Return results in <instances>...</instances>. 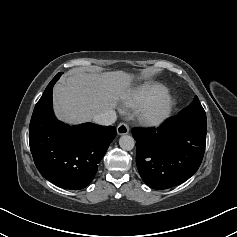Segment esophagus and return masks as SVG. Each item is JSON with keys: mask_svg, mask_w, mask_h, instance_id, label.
<instances>
[{"mask_svg": "<svg viewBox=\"0 0 237 237\" xmlns=\"http://www.w3.org/2000/svg\"><path fill=\"white\" fill-rule=\"evenodd\" d=\"M118 135H125L129 133V126L126 123H120L117 127Z\"/></svg>", "mask_w": 237, "mask_h": 237, "instance_id": "34e87169", "label": "esophagus"}]
</instances>
